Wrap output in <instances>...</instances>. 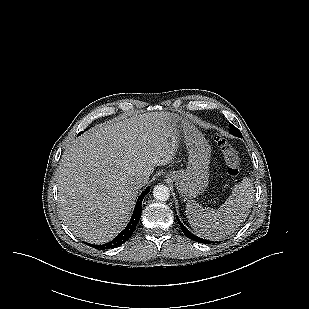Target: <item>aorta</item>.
Instances as JSON below:
<instances>
[{
	"instance_id": "762f6f07",
	"label": "aorta",
	"mask_w": 309,
	"mask_h": 309,
	"mask_svg": "<svg viewBox=\"0 0 309 309\" xmlns=\"http://www.w3.org/2000/svg\"><path fill=\"white\" fill-rule=\"evenodd\" d=\"M153 196L158 201H167L170 197V190L163 184L156 185L153 189Z\"/></svg>"
}]
</instances>
